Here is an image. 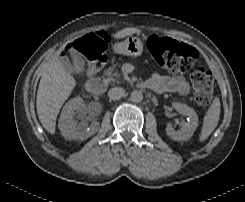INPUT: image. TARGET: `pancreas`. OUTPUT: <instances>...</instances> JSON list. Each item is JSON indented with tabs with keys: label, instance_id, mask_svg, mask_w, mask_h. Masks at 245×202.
Masks as SVG:
<instances>
[{
	"label": "pancreas",
	"instance_id": "1",
	"mask_svg": "<svg viewBox=\"0 0 245 202\" xmlns=\"http://www.w3.org/2000/svg\"><path fill=\"white\" fill-rule=\"evenodd\" d=\"M107 78L105 79L106 82L114 81L116 78L120 77V74L118 72H114V68H109L107 71Z\"/></svg>",
	"mask_w": 245,
	"mask_h": 202
}]
</instances>
